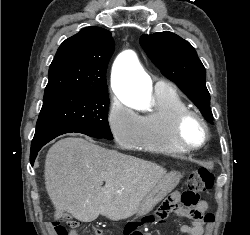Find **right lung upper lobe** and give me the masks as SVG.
Listing matches in <instances>:
<instances>
[{
    "mask_svg": "<svg viewBox=\"0 0 250 235\" xmlns=\"http://www.w3.org/2000/svg\"><path fill=\"white\" fill-rule=\"evenodd\" d=\"M113 51L111 33L100 27H86L66 39L50 65L44 97L107 89L106 69Z\"/></svg>",
    "mask_w": 250,
    "mask_h": 235,
    "instance_id": "right-lung-upper-lobe-1",
    "label": "right lung upper lobe"
}]
</instances>
